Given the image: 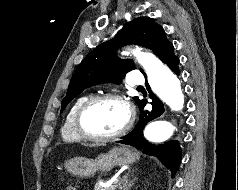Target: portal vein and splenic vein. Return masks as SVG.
I'll use <instances>...</instances> for the list:
<instances>
[{
	"mask_svg": "<svg viewBox=\"0 0 238 190\" xmlns=\"http://www.w3.org/2000/svg\"><path fill=\"white\" fill-rule=\"evenodd\" d=\"M119 182V179L115 180L113 184H117Z\"/></svg>",
	"mask_w": 238,
	"mask_h": 190,
	"instance_id": "18ae733b",
	"label": "portal vein and splenic vein"
}]
</instances>
